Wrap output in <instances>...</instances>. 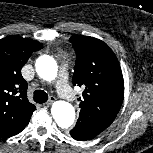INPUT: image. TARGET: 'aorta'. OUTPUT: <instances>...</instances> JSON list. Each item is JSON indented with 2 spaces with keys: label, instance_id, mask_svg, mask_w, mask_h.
Returning a JSON list of instances; mask_svg holds the SVG:
<instances>
[{
  "label": "aorta",
  "instance_id": "aorta-1",
  "mask_svg": "<svg viewBox=\"0 0 153 153\" xmlns=\"http://www.w3.org/2000/svg\"><path fill=\"white\" fill-rule=\"evenodd\" d=\"M35 67L37 74L42 79L50 81L53 80L57 75V63L52 57L48 55L40 56L36 60ZM51 113L55 122L61 128H68L74 123V107L66 101H57L53 103Z\"/></svg>",
  "mask_w": 153,
  "mask_h": 153
}]
</instances>
